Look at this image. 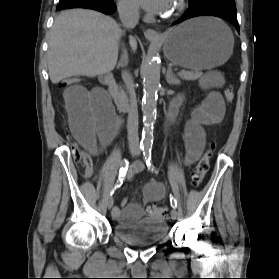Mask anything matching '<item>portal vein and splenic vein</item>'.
Wrapping results in <instances>:
<instances>
[{"label": "portal vein and splenic vein", "mask_w": 279, "mask_h": 279, "mask_svg": "<svg viewBox=\"0 0 279 279\" xmlns=\"http://www.w3.org/2000/svg\"><path fill=\"white\" fill-rule=\"evenodd\" d=\"M178 74L183 75L186 78H189L191 76V74L189 72L183 71V72H179Z\"/></svg>", "instance_id": "18ae733b"}]
</instances>
